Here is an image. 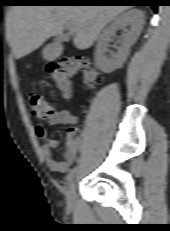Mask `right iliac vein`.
<instances>
[{"instance_id":"1","label":"right iliac vein","mask_w":170,"mask_h":231,"mask_svg":"<svg viewBox=\"0 0 170 231\" xmlns=\"http://www.w3.org/2000/svg\"><path fill=\"white\" fill-rule=\"evenodd\" d=\"M76 180L71 181L66 194L67 209L72 210L75 204Z\"/></svg>"}]
</instances>
